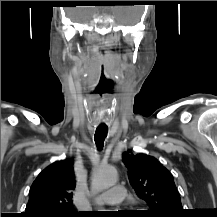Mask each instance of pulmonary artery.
Instances as JSON below:
<instances>
[{
  "label": "pulmonary artery",
  "mask_w": 217,
  "mask_h": 217,
  "mask_svg": "<svg viewBox=\"0 0 217 217\" xmlns=\"http://www.w3.org/2000/svg\"><path fill=\"white\" fill-rule=\"evenodd\" d=\"M126 197V190L121 185H116L110 190L101 193L95 198V203L99 205H114L120 204Z\"/></svg>",
  "instance_id": "1"
}]
</instances>
